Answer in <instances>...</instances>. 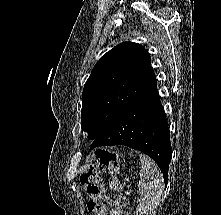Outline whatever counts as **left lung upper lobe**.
Wrapping results in <instances>:
<instances>
[{
    "label": "left lung upper lobe",
    "mask_w": 221,
    "mask_h": 215,
    "mask_svg": "<svg viewBox=\"0 0 221 215\" xmlns=\"http://www.w3.org/2000/svg\"><path fill=\"white\" fill-rule=\"evenodd\" d=\"M157 83L144 47L124 42L104 54L86 81L81 125L94 140Z\"/></svg>",
    "instance_id": "left-lung-upper-lobe-1"
}]
</instances>
